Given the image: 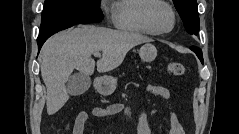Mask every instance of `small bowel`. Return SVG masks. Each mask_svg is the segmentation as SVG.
<instances>
[{
  "label": "small bowel",
  "mask_w": 239,
  "mask_h": 134,
  "mask_svg": "<svg viewBox=\"0 0 239 134\" xmlns=\"http://www.w3.org/2000/svg\"><path fill=\"white\" fill-rule=\"evenodd\" d=\"M147 92L160 99H169L170 92L167 88L159 85H149ZM124 113L133 125L137 134H150L149 126L141 110H134L120 103H112L103 107H96L91 111H80L73 124L72 134H84L86 122L90 115L99 118H109L116 114ZM167 134H184L182 123L176 113H171L169 117V127Z\"/></svg>",
  "instance_id": "c3829d8e"
}]
</instances>
